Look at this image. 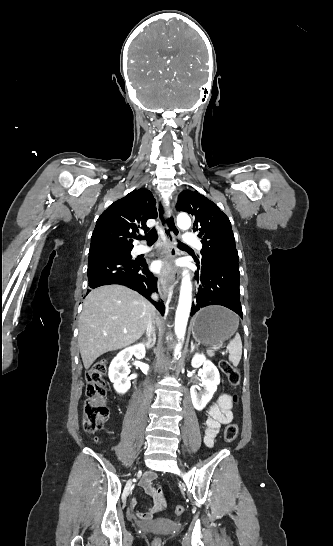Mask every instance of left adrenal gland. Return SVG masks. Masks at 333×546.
I'll list each match as a JSON object with an SVG mask.
<instances>
[{"instance_id":"a2214340","label":"left adrenal gland","mask_w":333,"mask_h":546,"mask_svg":"<svg viewBox=\"0 0 333 546\" xmlns=\"http://www.w3.org/2000/svg\"><path fill=\"white\" fill-rule=\"evenodd\" d=\"M195 348H196L195 344L193 343V341H191V350H190V352H193Z\"/></svg>"}]
</instances>
